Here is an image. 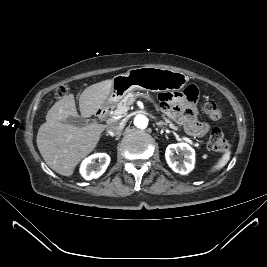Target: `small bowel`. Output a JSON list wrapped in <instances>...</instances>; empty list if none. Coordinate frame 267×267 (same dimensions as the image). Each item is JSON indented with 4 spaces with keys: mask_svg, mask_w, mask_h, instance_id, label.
<instances>
[{
    "mask_svg": "<svg viewBox=\"0 0 267 267\" xmlns=\"http://www.w3.org/2000/svg\"><path fill=\"white\" fill-rule=\"evenodd\" d=\"M198 91L190 85L183 92H164L159 95L163 110L194 137H202L209 131V125L200 121L196 109Z\"/></svg>",
    "mask_w": 267,
    "mask_h": 267,
    "instance_id": "obj_1",
    "label": "small bowel"
}]
</instances>
